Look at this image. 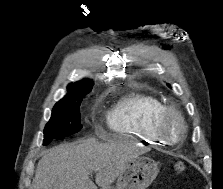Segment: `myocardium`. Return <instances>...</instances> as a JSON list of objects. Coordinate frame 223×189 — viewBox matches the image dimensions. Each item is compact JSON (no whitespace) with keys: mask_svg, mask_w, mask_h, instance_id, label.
Returning a JSON list of instances; mask_svg holds the SVG:
<instances>
[{"mask_svg":"<svg viewBox=\"0 0 223 189\" xmlns=\"http://www.w3.org/2000/svg\"><path fill=\"white\" fill-rule=\"evenodd\" d=\"M171 119H177L181 124V135L177 139H172L168 134V124ZM156 130L165 143L176 145L185 139L188 132V126L185 117L178 109L174 107H166L156 122Z\"/></svg>","mask_w":223,"mask_h":189,"instance_id":"obj_1","label":"myocardium"}]
</instances>
